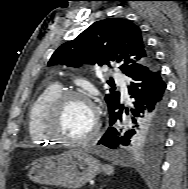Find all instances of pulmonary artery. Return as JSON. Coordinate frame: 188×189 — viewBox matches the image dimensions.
Wrapping results in <instances>:
<instances>
[{"label": "pulmonary artery", "instance_id": "pulmonary-artery-1", "mask_svg": "<svg viewBox=\"0 0 188 189\" xmlns=\"http://www.w3.org/2000/svg\"><path fill=\"white\" fill-rule=\"evenodd\" d=\"M113 78L121 85V90H122V94L125 98L128 97V91H127V86L124 83L123 79V75L118 73V72H114L113 74Z\"/></svg>", "mask_w": 188, "mask_h": 189}]
</instances>
